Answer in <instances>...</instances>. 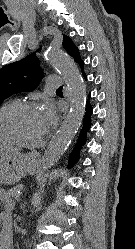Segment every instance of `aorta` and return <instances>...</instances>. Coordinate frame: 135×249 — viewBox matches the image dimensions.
I'll use <instances>...</instances> for the list:
<instances>
[{"label":"aorta","mask_w":135,"mask_h":249,"mask_svg":"<svg viewBox=\"0 0 135 249\" xmlns=\"http://www.w3.org/2000/svg\"><path fill=\"white\" fill-rule=\"evenodd\" d=\"M46 59L60 71L68 86L70 109L44 152L40 175L53 166L68 148L81 125L86 103L85 84L77 66L69 56L59 48L50 47L46 51ZM37 179L40 181L41 177ZM34 198L37 199L36 195Z\"/></svg>","instance_id":"aorta-1"}]
</instances>
